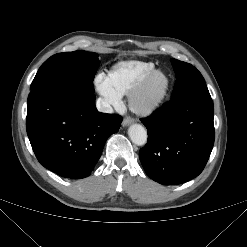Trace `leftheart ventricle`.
<instances>
[{
    "mask_svg": "<svg viewBox=\"0 0 247 247\" xmlns=\"http://www.w3.org/2000/svg\"><path fill=\"white\" fill-rule=\"evenodd\" d=\"M164 84V80L162 77H157L156 80L154 81L153 83V86H152V92H158L162 86Z\"/></svg>",
    "mask_w": 247,
    "mask_h": 247,
    "instance_id": "1",
    "label": "left heart ventricle"
}]
</instances>
